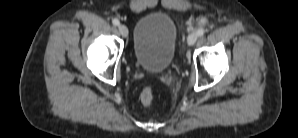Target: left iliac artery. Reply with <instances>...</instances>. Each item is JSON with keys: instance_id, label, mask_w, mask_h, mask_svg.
<instances>
[{"instance_id": "44dca946", "label": "left iliac artery", "mask_w": 298, "mask_h": 138, "mask_svg": "<svg viewBox=\"0 0 298 138\" xmlns=\"http://www.w3.org/2000/svg\"><path fill=\"white\" fill-rule=\"evenodd\" d=\"M204 33H205V29L204 28H200L197 31L198 36H202V35H204Z\"/></svg>"}]
</instances>
